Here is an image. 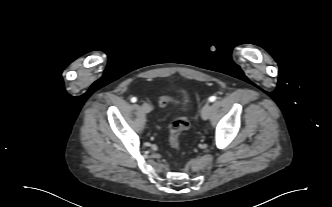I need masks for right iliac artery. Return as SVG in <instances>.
<instances>
[{
    "mask_svg": "<svg viewBox=\"0 0 332 207\" xmlns=\"http://www.w3.org/2000/svg\"><path fill=\"white\" fill-rule=\"evenodd\" d=\"M137 101V98L136 97H132L131 98V102L135 103Z\"/></svg>",
    "mask_w": 332,
    "mask_h": 207,
    "instance_id": "right-iliac-artery-1",
    "label": "right iliac artery"
}]
</instances>
